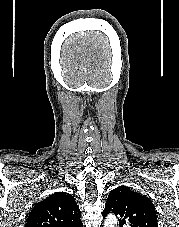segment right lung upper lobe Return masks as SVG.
Segmentation results:
<instances>
[{
  "instance_id": "cb5924a9",
  "label": "right lung upper lobe",
  "mask_w": 179,
  "mask_h": 227,
  "mask_svg": "<svg viewBox=\"0 0 179 227\" xmlns=\"http://www.w3.org/2000/svg\"><path fill=\"white\" fill-rule=\"evenodd\" d=\"M74 198L56 192L37 203L29 213L25 227H83Z\"/></svg>"
}]
</instances>
